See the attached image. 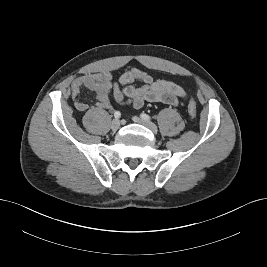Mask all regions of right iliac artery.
Instances as JSON below:
<instances>
[{
    "instance_id": "right-iliac-artery-1",
    "label": "right iliac artery",
    "mask_w": 267,
    "mask_h": 267,
    "mask_svg": "<svg viewBox=\"0 0 267 267\" xmlns=\"http://www.w3.org/2000/svg\"><path fill=\"white\" fill-rule=\"evenodd\" d=\"M114 117H115L116 119H119V118L121 117V113H120L119 111H115V113H114Z\"/></svg>"
}]
</instances>
